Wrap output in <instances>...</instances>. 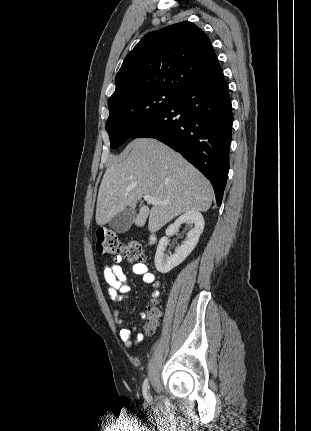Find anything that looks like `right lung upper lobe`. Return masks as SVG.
<instances>
[{
  "instance_id": "1",
  "label": "right lung upper lobe",
  "mask_w": 311,
  "mask_h": 431,
  "mask_svg": "<svg viewBox=\"0 0 311 431\" xmlns=\"http://www.w3.org/2000/svg\"><path fill=\"white\" fill-rule=\"evenodd\" d=\"M222 73L207 35L191 22L146 34L126 56L110 99L143 90L180 94Z\"/></svg>"
}]
</instances>
